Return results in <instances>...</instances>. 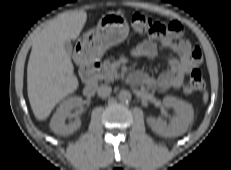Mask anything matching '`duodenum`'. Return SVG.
<instances>
[{
	"mask_svg": "<svg viewBox=\"0 0 231 170\" xmlns=\"http://www.w3.org/2000/svg\"><path fill=\"white\" fill-rule=\"evenodd\" d=\"M101 67V61L94 58H88L81 63V78L85 82L83 93L87 97H91L96 92L97 72Z\"/></svg>",
	"mask_w": 231,
	"mask_h": 170,
	"instance_id": "duodenum-1",
	"label": "duodenum"
}]
</instances>
